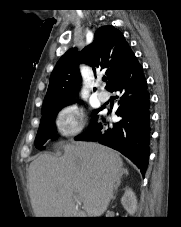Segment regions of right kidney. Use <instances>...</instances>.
Instances as JSON below:
<instances>
[{"instance_id": "ca27d5eb", "label": "right kidney", "mask_w": 181, "mask_h": 227, "mask_svg": "<svg viewBox=\"0 0 181 227\" xmlns=\"http://www.w3.org/2000/svg\"><path fill=\"white\" fill-rule=\"evenodd\" d=\"M121 204L130 215L133 216L135 214L137 210V199L131 188L125 189V193L121 198Z\"/></svg>"}]
</instances>
